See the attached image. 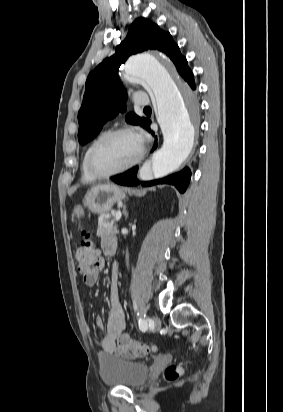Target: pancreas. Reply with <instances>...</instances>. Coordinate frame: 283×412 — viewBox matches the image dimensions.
<instances>
[{
    "mask_svg": "<svg viewBox=\"0 0 283 412\" xmlns=\"http://www.w3.org/2000/svg\"><path fill=\"white\" fill-rule=\"evenodd\" d=\"M116 233H118V230H117V226L114 224V220H109L106 217H100L98 219V229H97L98 237H103L106 235H112Z\"/></svg>",
    "mask_w": 283,
    "mask_h": 412,
    "instance_id": "1",
    "label": "pancreas"
}]
</instances>
